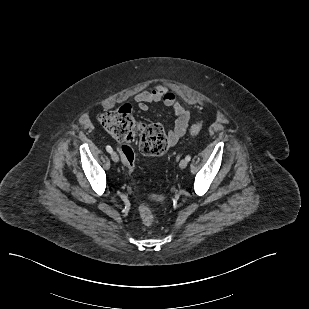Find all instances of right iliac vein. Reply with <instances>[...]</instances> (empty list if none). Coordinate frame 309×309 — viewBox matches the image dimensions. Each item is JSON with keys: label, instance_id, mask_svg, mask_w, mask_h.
I'll list each match as a JSON object with an SVG mask.
<instances>
[{"label": "right iliac vein", "instance_id": "obj_1", "mask_svg": "<svg viewBox=\"0 0 309 309\" xmlns=\"http://www.w3.org/2000/svg\"><path fill=\"white\" fill-rule=\"evenodd\" d=\"M111 158H112V160L115 162V163H117L118 161H119V156H118V154L116 153V152H112L111 153Z\"/></svg>", "mask_w": 309, "mask_h": 309}]
</instances>
